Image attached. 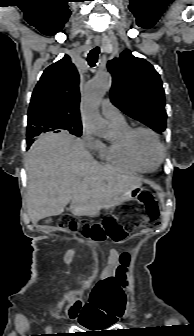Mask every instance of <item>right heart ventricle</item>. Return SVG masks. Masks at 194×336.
Returning a JSON list of instances; mask_svg holds the SVG:
<instances>
[{
	"mask_svg": "<svg viewBox=\"0 0 194 336\" xmlns=\"http://www.w3.org/2000/svg\"><path fill=\"white\" fill-rule=\"evenodd\" d=\"M118 132V137L108 143L100 142L97 153L101 160L132 173L143 174L152 171L138 163L131 155L125 140L129 125L124 122L113 124Z\"/></svg>",
	"mask_w": 194,
	"mask_h": 336,
	"instance_id": "right-heart-ventricle-1",
	"label": "right heart ventricle"
}]
</instances>
